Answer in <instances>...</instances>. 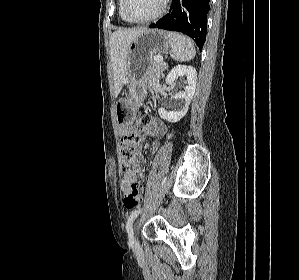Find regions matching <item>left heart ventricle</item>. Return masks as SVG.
Here are the masks:
<instances>
[{"instance_id":"1","label":"left heart ventricle","mask_w":299,"mask_h":280,"mask_svg":"<svg viewBox=\"0 0 299 280\" xmlns=\"http://www.w3.org/2000/svg\"><path fill=\"white\" fill-rule=\"evenodd\" d=\"M163 0H129L128 11L137 20L153 16L161 7Z\"/></svg>"}]
</instances>
